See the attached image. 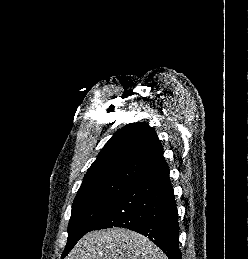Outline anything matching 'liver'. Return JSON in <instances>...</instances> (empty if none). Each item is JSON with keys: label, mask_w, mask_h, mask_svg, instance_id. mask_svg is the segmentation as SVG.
<instances>
[{"label": "liver", "mask_w": 248, "mask_h": 259, "mask_svg": "<svg viewBox=\"0 0 248 259\" xmlns=\"http://www.w3.org/2000/svg\"><path fill=\"white\" fill-rule=\"evenodd\" d=\"M67 259H168L147 237L124 228L89 232Z\"/></svg>", "instance_id": "obj_1"}]
</instances>
